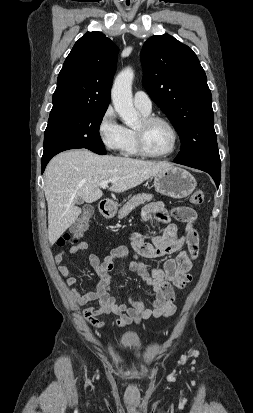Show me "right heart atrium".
Here are the masks:
<instances>
[{"instance_id": "obj_1", "label": "right heart atrium", "mask_w": 253, "mask_h": 413, "mask_svg": "<svg viewBox=\"0 0 253 413\" xmlns=\"http://www.w3.org/2000/svg\"><path fill=\"white\" fill-rule=\"evenodd\" d=\"M102 144L110 151H123L127 143V130L117 118L114 108L109 105L103 111L97 125Z\"/></svg>"}]
</instances>
